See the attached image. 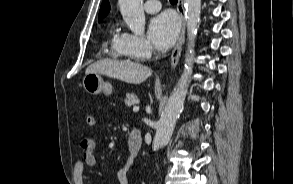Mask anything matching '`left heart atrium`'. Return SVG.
<instances>
[{
    "instance_id": "1",
    "label": "left heart atrium",
    "mask_w": 293,
    "mask_h": 184,
    "mask_svg": "<svg viewBox=\"0 0 293 184\" xmlns=\"http://www.w3.org/2000/svg\"><path fill=\"white\" fill-rule=\"evenodd\" d=\"M179 32V21L171 12L155 16L149 24V38L159 49H168L176 40Z\"/></svg>"
}]
</instances>
